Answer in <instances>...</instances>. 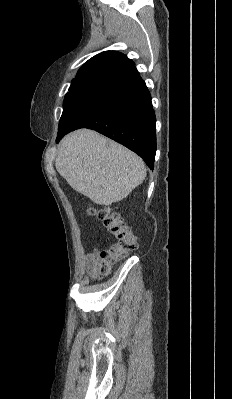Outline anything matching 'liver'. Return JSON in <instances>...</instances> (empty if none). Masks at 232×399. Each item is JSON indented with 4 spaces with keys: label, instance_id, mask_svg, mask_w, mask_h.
I'll return each instance as SVG.
<instances>
[{
    "label": "liver",
    "instance_id": "1",
    "mask_svg": "<svg viewBox=\"0 0 232 399\" xmlns=\"http://www.w3.org/2000/svg\"><path fill=\"white\" fill-rule=\"evenodd\" d=\"M55 162L73 190L101 205L124 200L146 178L139 156L92 130L65 136Z\"/></svg>",
    "mask_w": 232,
    "mask_h": 399
}]
</instances>
